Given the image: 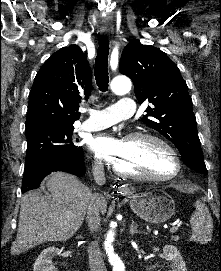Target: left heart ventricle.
Masks as SVG:
<instances>
[{
    "mask_svg": "<svg viewBox=\"0 0 221 271\" xmlns=\"http://www.w3.org/2000/svg\"><path fill=\"white\" fill-rule=\"evenodd\" d=\"M156 139L142 137L134 144L138 145L134 149L135 156H121V160L115 163V168H119V175H148L152 177H173L172 169L175 166H168L167 156L170 152H158Z\"/></svg>",
    "mask_w": 221,
    "mask_h": 271,
    "instance_id": "obj_1",
    "label": "left heart ventricle"
}]
</instances>
